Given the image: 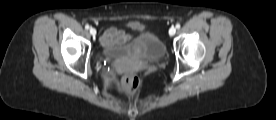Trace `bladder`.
<instances>
[{"mask_svg":"<svg viewBox=\"0 0 276 120\" xmlns=\"http://www.w3.org/2000/svg\"><path fill=\"white\" fill-rule=\"evenodd\" d=\"M130 29L134 32L133 39L123 45H112L104 49L108 57L128 55H142L147 58L157 59L166 54V45L153 31L140 22H130Z\"/></svg>","mask_w":276,"mask_h":120,"instance_id":"bladder-1","label":"bladder"}]
</instances>
